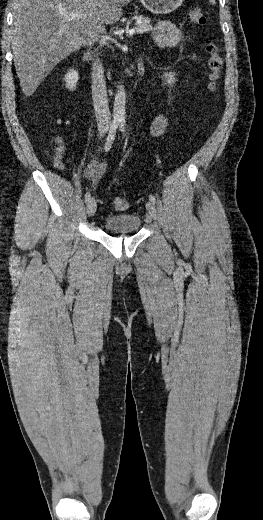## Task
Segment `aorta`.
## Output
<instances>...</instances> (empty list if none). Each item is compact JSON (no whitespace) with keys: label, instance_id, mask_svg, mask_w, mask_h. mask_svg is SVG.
Masks as SVG:
<instances>
[{"label":"aorta","instance_id":"1","mask_svg":"<svg viewBox=\"0 0 263 520\" xmlns=\"http://www.w3.org/2000/svg\"><path fill=\"white\" fill-rule=\"evenodd\" d=\"M117 91L114 99V110L113 118L116 121L125 120V104H126V92L123 85L117 87Z\"/></svg>","mask_w":263,"mask_h":520}]
</instances>
